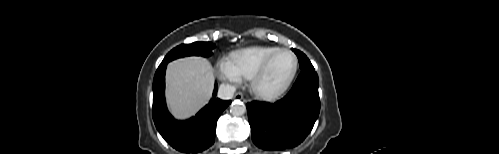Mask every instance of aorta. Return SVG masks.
Segmentation results:
<instances>
[{"mask_svg":"<svg viewBox=\"0 0 499 154\" xmlns=\"http://www.w3.org/2000/svg\"><path fill=\"white\" fill-rule=\"evenodd\" d=\"M245 112L246 106L241 101L236 100L230 105V113L234 116H241L245 114Z\"/></svg>","mask_w":499,"mask_h":154,"instance_id":"obj_1","label":"aorta"}]
</instances>
